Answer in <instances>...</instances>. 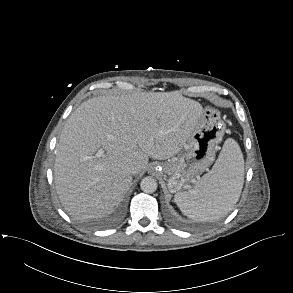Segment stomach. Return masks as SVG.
Returning a JSON list of instances; mask_svg holds the SVG:
<instances>
[{"instance_id": "obj_1", "label": "stomach", "mask_w": 293, "mask_h": 293, "mask_svg": "<svg viewBox=\"0 0 293 293\" xmlns=\"http://www.w3.org/2000/svg\"><path fill=\"white\" fill-rule=\"evenodd\" d=\"M224 131L225 123L220 118V112L206 106L194 132L182 149L176 156L158 165L168 175L170 192H179L200 180V175L215 159L217 145L222 141Z\"/></svg>"}]
</instances>
